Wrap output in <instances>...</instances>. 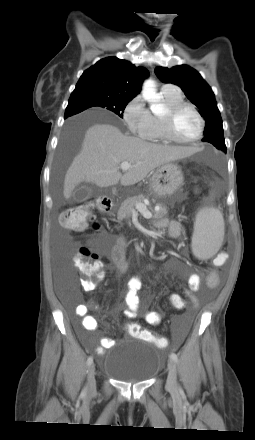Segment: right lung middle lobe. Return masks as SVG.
<instances>
[{
	"instance_id": "dd1d6c3e",
	"label": "right lung middle lobe",
	"mask_w": 255,
	"mask_h": 440,
	"mask_svg": "<svg viewBox=\"0 0 255 440\" xmlns=\"http://www.w3.org/2000/svg\"><path fill=\"white\" fill-rule=\"evenodd\" d=\"M131 100L102 92L72 93L65 110V117L80 113L91 107H100L110 110L123 118L124 109Z\"/></svg>"
}]
</instances>
